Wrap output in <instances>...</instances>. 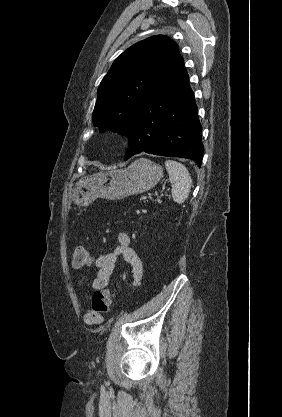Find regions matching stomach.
Listing matches in <instances>:
<instances>
[{"label": "stomach", "mask_w": 282, "mask_h": 417, "mask_svg": "<svg viewBox=\"0 0 282 417\" xmlns=\"http://www.w3.org/2000/svg\"><path fill=\"white\" fill-rule=\"evenodd\" d=\"M162 176L160 164L149 158H138L127 168H108L80 178L74 186L73 200L79 206H88L95 198L118 200L150 190Z\"/></svg>", "instance_id": "0dacf381"}]
</instances>
